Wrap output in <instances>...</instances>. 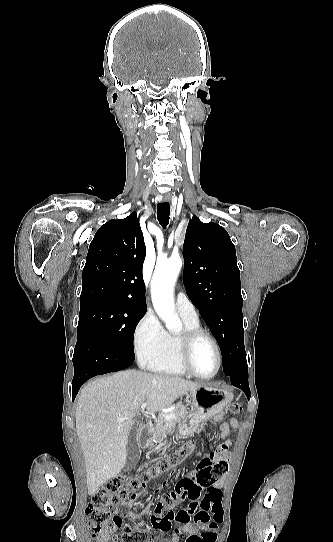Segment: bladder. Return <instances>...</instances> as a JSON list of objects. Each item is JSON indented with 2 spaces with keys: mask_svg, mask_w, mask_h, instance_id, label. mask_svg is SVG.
Wrapping results in <instances>:
<instances>
[{
  "mask_svg": "<svg viewBox=\"0 0 333 542\" xmlns=\"http://www.w3.org/2000/svg\"><path fill=\"white\" fill-rule=\"evenodd\" d=\"M163 542H172V541H170V540H164Z\"/></svg>",
  "mask_w": 333,
  "mask_h": 542,
  "instance_id": "obj_1",
  "label": "bladder"
}]
</instances>
